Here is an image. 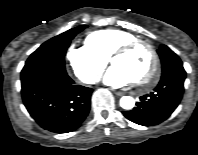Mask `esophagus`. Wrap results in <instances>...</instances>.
I'll return each mask as SVG.
<instances>
[{"mask_svg":"<svg viewBox=\"0 0 198 155\" xmlns=\"http://www.w3.org/2000/svg\"><path fill=\"white\" fill-rule=\"evenodd\" d=\"M115 94H116L117 96H122L124 93H123V92H115Z\"/></svg>","mask_w":198,"mask_h":155,"instance_id":"1","label":"esophagus"}]
</instances>
